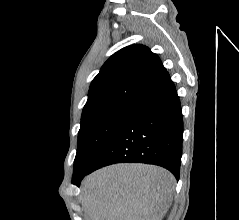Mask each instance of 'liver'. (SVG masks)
<instances>
[{
  "label": "liver",
  "mask_w": 239,
  "mask_h": 220,
  "mask_svg": "<svg viewBox=\"0 0 239 220\" xmlns=\"http://www.w3.org/2000/svg\"><path fill=\"white\" fill-rule=\"evenodd\" d=\"M175 178L146 164H115L87 176L80 201L87 220H162L174 196Z\"/></svg>",
  "instance_id": "obj_1"
}]
</instances>
